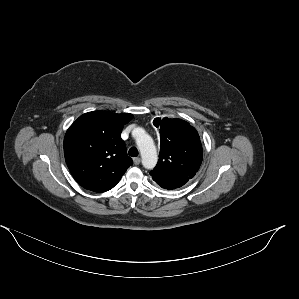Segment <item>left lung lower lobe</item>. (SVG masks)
I'll return each mask as SVG.
<instances>
[{"label":"left lung lower lobe","mask_w":299,"mask_h":299,"mask_svg":"<svg viewBox=\"0 0 299 299\" xmlns=\"http://www.w3.org/2000/svg\"><path fill=\"white\" fill-rule=\"evenodd\" d=\"M153 180L162 188L172 190L175 188H179L186 184L189 179L188 176H178V177H170V178H160V177H152Z\"/></svg>","instance_id":"1"}]
</instances>
